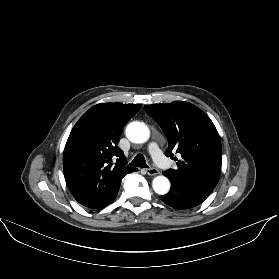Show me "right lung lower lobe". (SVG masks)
I'll use <instances>...</instances> for the list:
<instances>
[{"mask_svg": "<svg viewBox=\"0 0 279 279\" xmlns=\"http://www.w3.org/2000/svg\"><path fill=\"white\" fill-rule=\"evenodd\" d=\"M117 194H118V190L108 200L104 201L103 203L91 206L90 208L100 209V208H103V207L107 206L108 204H110L116 198Z\"/></svg>", "mask_w": 279, "mask_h": 279, "instance_id": "obj_1", "label": "right lung lower lobe"}]
</instances>
